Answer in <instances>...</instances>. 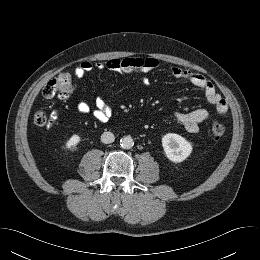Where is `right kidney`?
<instances>
[{
  "label": "right kidney",
  "mask_w": 260,
  "mask_h": 260,
  "mask_svg": "<svg viewBox=\"0 0 260 260\" xmlns=\"http://www.w3.org/2000/svg\"><path fill=\"white\" fill-rule=\"evenodd\" d=\"M80 141H81L80 136L77 134H74L70 137L69 140H67V142L65 144V148L70 149L72 147H75Z\"/></svg>",
  "instance_id": "obj_1"
}]
</instances>
